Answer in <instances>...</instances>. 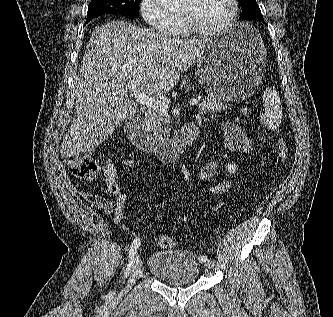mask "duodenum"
I'll return each mask as SVG.
<instances>
[{"mask_svg":"<svg viewBox=\"0 0 333 317\" xmlns=\"http://www.w3.org/2000/svg\"><path fill=\"white\" fill-rule=\"evenodd\" d=\"M125 131L137 147L169 163L179 159L192 146L199 136L200 127L195 122H189L176 137L165 139L150 134L141 118L130 117L125 122Z\"/></svg>","mask_w":333,"mask_h":317,"instance_id":"duodenum-1","label":"duodenum"}]
</instances>
